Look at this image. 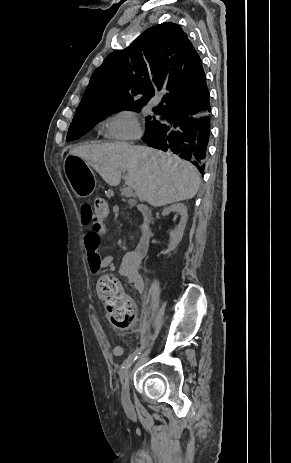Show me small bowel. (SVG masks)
<instances>
[{
  "instance_id": "obj_1",
  "label": "small bowel",
  "mask_w": 291,
  "mask_h": 463,
  "mask_svg": "<svg viewBox=\"0 0 291 463\" xmlns=\"http://www.w3.org/2000/svg\"><path fill=\"white\" fill-rule=\"evenodd\" d=\"M107 217H95L91 227L86 231L83 237V250L89 272L97 275L101 270L109 268L114 263L111 255H100L99 246L101 235L106 232ZM142 263V257L135 250L128 251L124 254L119 272L124 276L127 282L132 285L140 294L144 291V282L139 273ZM114 356H121L122 350L116 346L112 350Z\"/></svg>"
}]
</instances>
